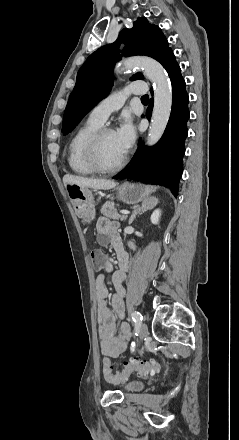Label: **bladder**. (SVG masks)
Segmentation results:
<instances>
[{
	"label": "bladder",
	"mask_w": 239,
	"mask_h": 440,
	"mask_svg": "<svg viewBox=\"0 0 239 440\" xmlns=\"http://www.w3.org/2000/svg\"><path fill=\"white\" fill-rule=\"evenodd\" d=\"M145 382L141 380H130L123 385V390L126 392H139L145 388Z\"/></svg>",
	"instance_id": "bladder-1"
}]
</instances>
